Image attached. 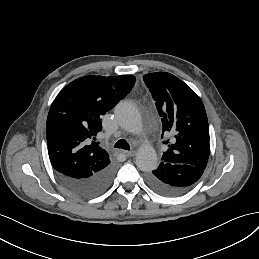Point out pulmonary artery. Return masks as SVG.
<instances>
[{"label":"pulmonary artery","mask_w":259,"mask_h":259,"mask_svg":"<svg viewBox=\"0 0 259 259\" xmlns=\"http://www.w3.org/2000/svg\"><path fill=\"white\" fill-rule=\"evenodd\" d=\"M122 126L133 133H140L142 131V122L139 119H126Z\"/></svg>","instance_id":"1"}]
</instances>
